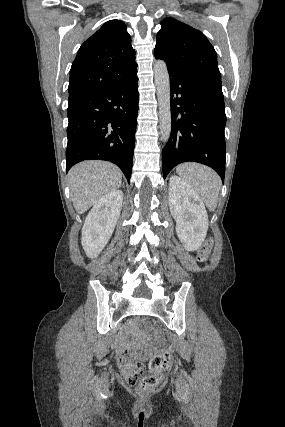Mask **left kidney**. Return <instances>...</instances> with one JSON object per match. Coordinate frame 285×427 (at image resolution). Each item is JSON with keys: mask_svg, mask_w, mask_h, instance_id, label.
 Returning a JSON list of instances; mask_svg holds the SVG:
<instances>
[{"mask_svg": "<svg viewBox=\"0 0 285 427\" xmlns=\"http://www.w3.org/2000/svg\"><path fill=\"white\" fill-rule=\"evenodd\" d=\"M169 206L178 238L188 251L197 250L207 234V211L193 188L175 175L169 181Z\"/></svg>", "mask_w": 285, "mask_h": 427, "instance_id": "left-kidney-1", "label": "left kidney"}]
</instances>
